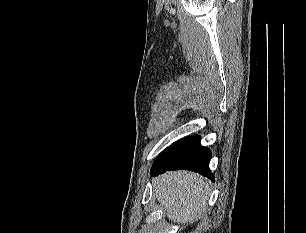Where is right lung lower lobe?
<instances>
[{"mask_svg":"<svg viewBox=\"0 0 306 233\" xmlns=\"http://www.w3.org/2000/svg\"><path fill=\"white\" fill-rule=\"evenodd\" d=\"M211 152L200 144V136L193 135L172 144L152 165V175L167 170H191L214 180L209 169Z\"/></svg>","mask_w":306,"mask_h":233,"instance_id":"obj_1","label":"right lung lower lobe"}]
</instances>
